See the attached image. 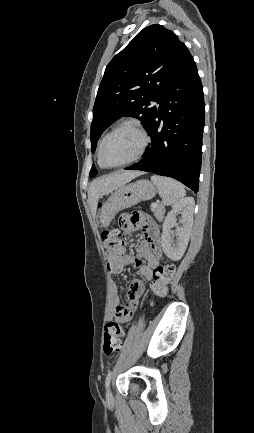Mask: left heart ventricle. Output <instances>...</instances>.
I'll return each instance as SVG.
<instances>
[{"instance_id":"obj_1","label":"left heart ventricle","mask_w":254,"mask_h":433,"mask_svg":"<svg viewBox=\"0 0 254 433\" xmlns=\"http://www.w3.org/2000/svg\"><path fill=\"white\" fill-rule=\"evenodd\" d=\"M142 138L131 127H124L112 134L103 148V160L110 165L128 161L140 150Z\"/></svg>"}]
</instances>
